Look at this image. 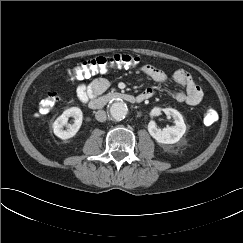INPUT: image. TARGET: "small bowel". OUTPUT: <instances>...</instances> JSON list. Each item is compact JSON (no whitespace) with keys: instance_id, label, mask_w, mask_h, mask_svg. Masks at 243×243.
<instances>
[{"instance_id":"small-bowel-1","label":"small bowel","mask_w":243,"mask_h":243,"mask_svg":"<svg viewBox=\"0 0 243 243\" xmlns=\"http://www.w3.org/2000/svg\"><path fill=\"white\" fill-rule=\"evenodd\" d=\"M139 71L149 76L159 85H165L167 83L168 79L165 72L153 65H143L139 68ZM172 78L183 88V91H176L173 93L172 96L175 101L191 106H195L201 102L203 91L186 70H175L172 74ZM109 84V81L103 77L96 78L89 83H80L76 89L77 97L81 102L87 103L91 98L104 92L109 87ZM154 93L155 91L153 89L147 88L139 95L142 96L144 100H147L151 98Z\"/></svg>"}]
</instances>
